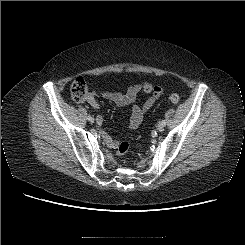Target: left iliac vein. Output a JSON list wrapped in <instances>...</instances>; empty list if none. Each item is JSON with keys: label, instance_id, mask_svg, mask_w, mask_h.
Here are the masks:
<instances>
[{"label": "left iliac vein", "instance_id": "4c4485c4", "mask_svg": "<svg viewBox=\"0 0 245 245\" xmlns=\"http://www.w3.org/2000/svg\"><path fill=\"white\" fill-rule=\"evenodd\" d=\"M157 130H158L159 132H162V131L164 130V125H163L161 122L158 124Z\"/></svg>", "mask_w": 245, "mask_h": 245}]
</instances>
